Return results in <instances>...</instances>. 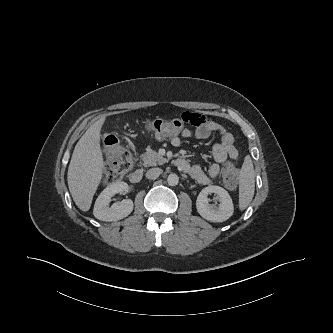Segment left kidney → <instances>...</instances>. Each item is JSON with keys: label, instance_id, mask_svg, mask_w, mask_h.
<instances>
[{"label": "left kidney", "instance_id": "1", "mask_svg": "<svg viewBox=\"0 0 333 333\" xmlns=\"http://www.w3.org/2000/svg\"><path fill=\"white\" fill-rule=\"evenodd\" d=\"M214 193L220 201L219 207L208 203V195ZM198 213L210 222L228 220L234 212L233 201L229 193L219 186H208L202 189L196 200Z\"/></svg>", "mask_w": 333, "mask_h": 333}]
</instances>
